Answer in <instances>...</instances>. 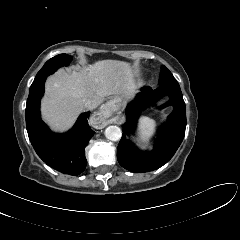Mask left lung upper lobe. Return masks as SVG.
Here are the masks:
<instances>
[{
  "label": "left lung upper lobe",
  "instance_id": "5c2ea615",
  "mask_svg": "<svg viewBox=\"0 0 240 240\" xmlns=\"http://www.w3.org/2000/svg\"><path fill=\"white\" fill-rule=\"evenodd\" d=\"M162 71L160 74L159 84L160 85H173L178 86L179 84L171 74V72L166 68L164 65H162Z\"/></svg>",
  "mask_w": 240,
  "mask_h": 240
}]
</instances>
